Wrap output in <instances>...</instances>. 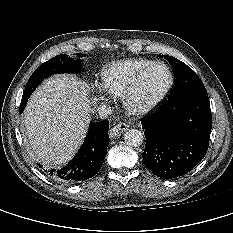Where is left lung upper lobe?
I'll use <instances>...</instances> for the list:
<instances>
[{
  "instance_id": "5c2ea615",
  "label": "left lung upper lobe",
  "mask_w": 233,
  "mask_h": 233,
  "mask_svg": "<svg viewBox=\"0 0 233 233\" xmlns=\"http://www.w3.org/2000/svg\"><path fill=\"white\" fill-rule=\"evenodd\" d=\"M163 56L174 69V87L169 98L186 93H207L201 79L189 66L175 57Z\"/></svg>"
}]
</instances>
